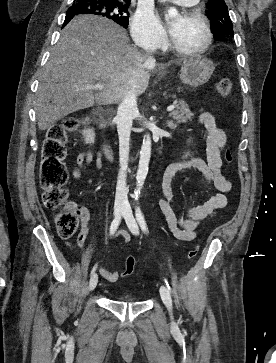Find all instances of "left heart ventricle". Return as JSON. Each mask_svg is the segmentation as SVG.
Segmentation results:
<instances>
[{
  "instance_id": "1",
  "label": "left heart ventricle",
  "mask_w": 276,
  "mask_h": 363,
  "mask_svg": "<svg viewBox=\"0 0 276 363\" xmlns=\"http://www.w3.org/2000/svg\"><path fill=\"white\" fill-rule=\"evenodd\" d=\"M173 23L176 24L177 29L172 36L181 48L194 50L203 45L206 33L200 21L186 16H177Z\"/></svg>"
}]
</instances>
